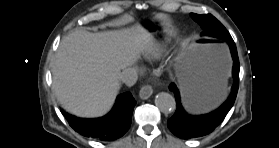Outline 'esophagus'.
<instances>
[{"instance_id": "34e87169", "label": "esophagus", "mask_w": 279, "mask_h": 148, "mask_svg": "<svg viewBox=\"0 0 279 148\" xmlns=\"http://www.w3.org/2000/svg\"><path fill=\"white\" fill-rule=\"evenodd\" d=\"M153 94V88L150 85H145L139 92V97L143 100L148 99Z\"/></svg>"}]
</instances>
